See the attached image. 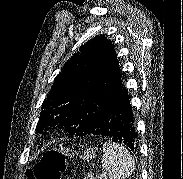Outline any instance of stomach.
I'll use <instances>...</instances> for the list:
<instances>
[{
	"mask_svg": "<svg viewBox=\"0 0 183 179\" xmlns=\"http://www.w3.org/2000/svg\"><path fill=\"white\" fill-rule=\"evenodd\" d=\"M98 150V148H87L84 152V154H82L80 157L83 159V160H87L89 161L90 159L92 158H95L96 157V151Z\"/></svg>",
	"mask_w": 183,
	"mask_h": 179,
	"instance_id": "obj_1",
	"label": "stomach"
}]
</instances>
